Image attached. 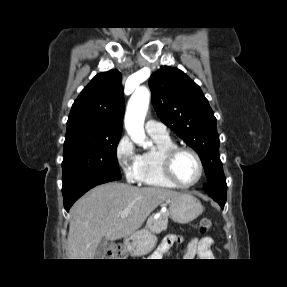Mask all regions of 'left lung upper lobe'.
I'll return each instance as SVG.
<instances>
[{"label": "left lung upper lobe", "instance_id": "obj_1", "mask_svg": "<svg viewBox=\"0 0 287 287\" xmlns=\"http://www.w3.org/2000/svg\"><path fill=\"white\" fill-rule=\"evenodd\" d=\"M149 86L161 121L200 156L207 175L205 192L226 199L216 118L200 87L183 71L168 66H162L151 75Z\"/></svg>", "mask_w": 287, "mask_h": 287}]
</instances>
